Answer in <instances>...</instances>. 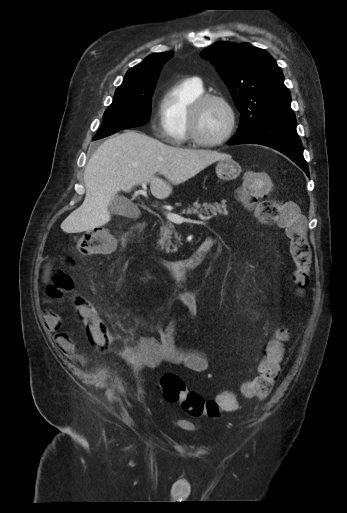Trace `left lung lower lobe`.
Masks as SVG:
<instances>
[{"label": "left lung lower lobe", "mask_w": 347, "mask_h": 513, "mask_svg": "<svg viewBox=\"0 0 347 513\" xmlns=\"http://www.w3.org/2000/svg\"><path fill=\"white\" fill-rule=\"evenodd\" d=\"M228 144H260L271 147L289 157L309 176L308 165L303 157V146L296 131L295 118L266 121L244 135L235 136Z\"/></svg>", "instance_id": "0a47b994"}]
</instances>
